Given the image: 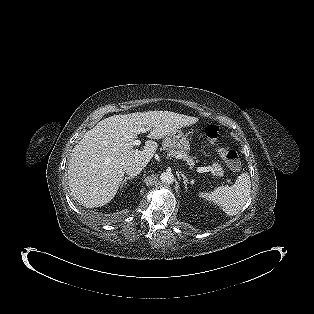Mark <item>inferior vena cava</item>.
<instances>
[{
  "instance_id": "obj_1",
  "label": "inferior vena cava",
  "mask_w": 314,
  "mask_h": 314,
  "mask_svg": "<svg viewBox=\"0 0 314 314\" xmlns=\"http://www.w3.org/2000/svg\"><path fill=\"white\" fill-rule=\"evenodd\" d=\"M145 165L140 163H132L126 169L125 172L130 177L137 176L144 169Z\"/></svg>"
}]
</instances>
